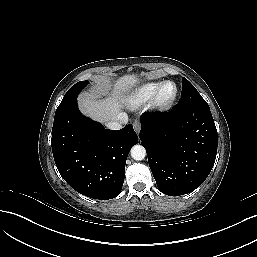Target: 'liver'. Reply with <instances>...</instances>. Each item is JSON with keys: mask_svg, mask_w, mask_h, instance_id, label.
Segmentation results:
<instances>
[{"mask_svg": "<svg viewBox=\"0 0 257 257\" xmlns=\"http://www.w3.org/2000/svg\"><path fill=\"white\" fill-rule=\"evenodd\" d=\"M136 81L137 78L134 74L120 77L115 84V94L133 85ZM79 107L83 114L102 123L115 120L120 110L116 97L98 100L90 95H84L80 98Z\"/></svg>", "mask_w": 257, "mask_h": 257, "instance_id": "liver-1", "label": "liver"}]
</instances>
